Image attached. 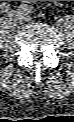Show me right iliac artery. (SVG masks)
Wrapping results in <instances>:
<instances>
[{"label": "right iliac artery", "mask_w": 74, "mask_h": 122, "mask_svg": "<svg viewBox=\"0 0 74 122\" xmlns=\"http://www.w3.org/2000/svg\"><path fill=\"white\" fill-rule=\"evenodd\" d=\"M1 9L4 11V12H7L8 10H9V5H8V3H2L1 4Z\"/></svg>", "instance_id": "82829eb1"}]
</instances>
